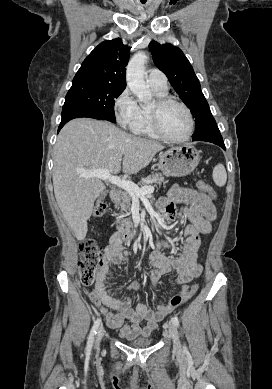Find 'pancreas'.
Listing matches in <instances>:
<instances>
[{
	"mask_svg": "<svg viewBox=\"0 0 272 389\" xmlns=\"http://www.w3.org/2000/svg\"><path fill=\"white\" fill-rule=\"evenodd\" d=\"M158 184V185H165L164 177L161 174H153L146 177L143 181L140 182L143 186H147L149 184ZM120 199L118 202H115L117 206L121 208L122 211L127 212L131 208V200L132 196L126 192L121 191L119 192ZM124 215L123 212L116 214L117 216V223L121 226V228H125L126 231H130L132 227V223L128 219H122V216Z\"/></svg>",
	"mask_w": 272,
	"mask_h": 389,
	"instance_id": "obj_1",
	"label": "pancreas"
}]
</instances>
